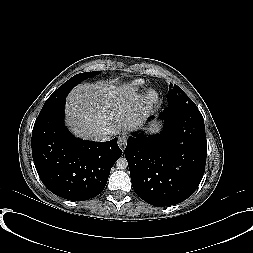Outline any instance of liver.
Segmentation results:
<instances>
[{"label": "liver", "instance_id": "1", "mask_svg": "<svg viewBox=\"0 0 253 253\" xmlns=\"http://www.w3.org/2000/svg\"><path fill=\"white\" fill-rule=\"evenodd\" d=\"M67 124L79 137L94 139L102 133L115 135L137 130L145 119L143 99L129 84L84 83L69 93Z\"/></svg>", "mask_w": 253, "mask_h": 253}]
</instances>
